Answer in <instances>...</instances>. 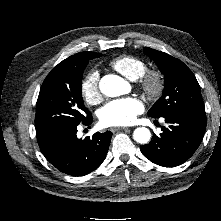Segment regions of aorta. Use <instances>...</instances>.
<instances>
[{
    "label": "aorta",
    "mask_w": 221,
    "mask_h": 221,
    "mask_svg": "<svg viewBox=\"0 0 221 221\" xmlns=\"http://www.w3.org/2000/svg\"><path fill=\"white\" fill-rule=\"evenodd\" d=\"M99 88L104 95L117 97L127 92L128 84L123 78L110 74L102 77ZM133 138L140 144H146L151 138V132L146 127H139L134 130Z\"/></svg>",
    "instance_id": "obj_1"
}]
</instances>
